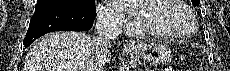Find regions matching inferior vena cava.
I'll list each match as a JSON object with an SVG mask.
<instances>
[{
    "mask_svg": "<svg viewBox=\"0 0 230 71\" xmlns=\"http://www.w3.org/2000/svg\"><path fill=\"white\" fill-rule=\"evenodd\" d=\"M122 32V24L110 14L99 12L96 18V36L91 41L92 62L88 71H104L106 54L111 47V41Z\"/></svg>",
    "mask_w": 230,
    "mask_h": 71,
    "instance_id": "inferior-vena-cava-1",
    "label": "inferior vena cava"
}]
</instances>
